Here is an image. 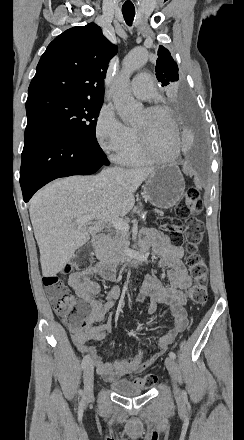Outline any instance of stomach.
Wrapping results in <instances>:
<instances>
[{"label":"stomach","mask_w":244,"mask_h":440,"mask_svg":"<svg viewBox=\"0 0 244 440\" xmlns=\"http://www.w3.org/2000/svg\"><path fill=\"white\" fill-rule=\"evenodd\" d=\"M185 180L175 164L159 166L150 174L144 184L143 194L156 208H173L183 198Z\"/></svg>","instance_id":"obj_1"}]
</instances>
